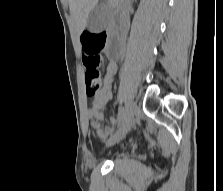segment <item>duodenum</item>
Returning <instances> with one entry per match:
<instances>
[{
	"label": "duodenum",
	"mask_w": 223,
	"mask_h": 191,
	"mask_svg": "<svg viewBox=\"0 0 223 191\" xmlns=\"http://www.w3.org/2000/svg\"><path fill=\"white\" fill-rule=\"evenodd\" d=\"M118 41L121 40L122 36H123V30L122 29H116V31L114 32ZM109 56H110V59H116L120 56L121 54V46L120 44H116V45H111L110 48H109Z\"/></svg>",
	"instance_id": "obj_1"
}]
</instances>
